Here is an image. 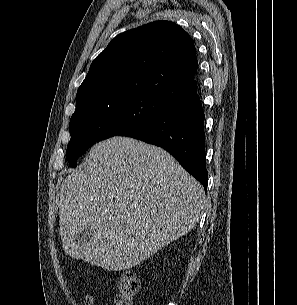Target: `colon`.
<instances>
[{
	"label": "colon",
	"instance_id": "obj_1",
	"mask_svg": "<svg viewBox=\"0 0 297 305\" xmlns=\"http://www.w3.org/2000/svg\"><path fill=\"white\" fill-rule=\"evenodd\" d=\"M139 291L138 282L131 271H124L118 281L113 305H135Z\"/></svg>",
	"mask_w": 297,
	"mask_h": 305
}]
</instances>
